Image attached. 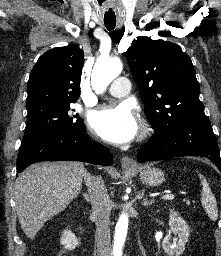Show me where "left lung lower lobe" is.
Listing matches in <instances>:
<instances>
[{
    "label": "left lung lower lobe",
    "mask_w": 221,
    "mask_h": 256,
    "mask_svg": "<svg viewBox=\"0 0 221 256\" xmlns=\"http://www.w3.org/2000/svg\"><path fill=\"white\" fill-rule=\"evenodd\" d=\"M181 156L206 157L221 171L219 148L209 119L180 123L154 132L140 150L137 160L157 161Z\"/></svg>",
    "instance_id": "0a47b994"
}]
</instances>
